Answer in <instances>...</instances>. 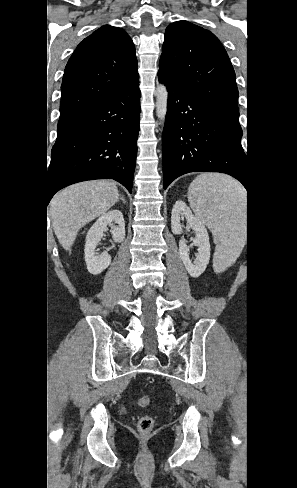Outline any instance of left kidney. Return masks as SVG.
I'll use <instances>...</instances> for the list:
<instances>
[{
    "label": "left kidney",
    "mask_w": 297,
    "mask_h": 488,
    "mask_svg": "<svg viewBox=\"0 0 297 488\" xmlns=\"http://www.w3.org/2000/svg\"><path fill=\"white\" fill-rule=\"evenodd\" d=\"M185 217L187 226L195 232L193 243L198 246V255L194 262L189 258V247L185 241H179V255L183 264L191 277H199L206 269L210 260V243L207 229L203 222L192 214L185 202L178 200L172 209L171 229L174 234H182L183 225L180 223L181 218Z\"/></svg>",
    "instance_id": "5707ae66"
}]
</instances>
